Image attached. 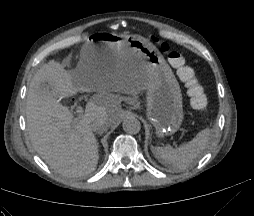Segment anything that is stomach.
<instances>
[{"label":"stomach","mask_w":254,"mask_h":216,"mask_svg":"<svg viewBox=\"0 0 254 216\" xmlns=\"http://www.w3.org/2000/svg\"><path fill=\"white\" fill-rule=\"evenodd\" d=\"M88 64L94 70L121 63L140 62L148 74L146 116L156 134L163 137L177 131L183 121L182 93L173 71L159 50L139 35L119 38L109 33L91 36Z\"/></svg>","instance_id":"obj_1"}]
</instances>
